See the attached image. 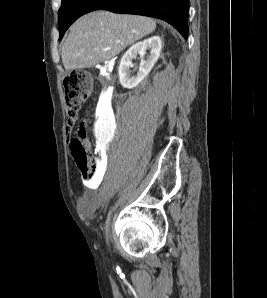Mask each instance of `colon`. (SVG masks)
Wrapping results in <instances>:
<instances>
[{
	"label": "colon",
	"instance_id": "colon-1",
	"mask_svg": "<svg viewBox=\"0 0 267 298\" xmlns=\"http://www.w3.org/2000/svg\"><path fill=\"white\" fill-rule=\"evenodd\" d=\"M91 87V76L85 71H74L64 79L65 100L70 126L78 118L81 105L89 96ZM85 133V127L82 126L80 137L71 140L70 150L82 178L91 181L96 176L98 159L88 151L84 142Z\"/></svg>",
	"mask_w": 267,
	"mask_h": 298
}]
</instances>
